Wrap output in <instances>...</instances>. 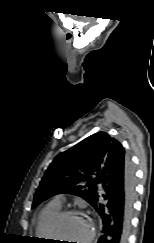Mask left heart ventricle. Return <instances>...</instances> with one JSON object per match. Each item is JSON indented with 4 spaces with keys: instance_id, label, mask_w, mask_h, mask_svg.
Here are the masks:
<instances>
[{
    "instance_id": "left-heart-ventricle-1",
    "label": "left heart ventricle",
    "mask_w": 154,
    "mask_h": 243,
    "mask_svg": "<svg viewBox=\"0 0 154 243\" xmlns=\"http://www.w3.org/2000/svg\"><path fill=\"white\" fill-rule=\"evenodd\" d=\"M90 230L89 221L81 215H71L64 218L59 224L56 235L64 239L62 243L75 241L76 243H83Z\"/></svg>"
}]
</instances>
